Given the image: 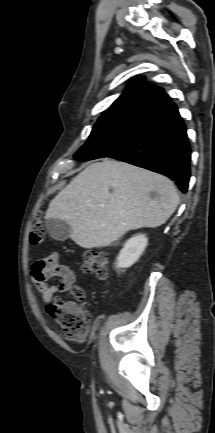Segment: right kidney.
<instances>
[{
    "label": "right kidney",
    "instance_id": "ca27d5eb",
    "mask_svg": "<svg viewBox=\"0 0 215 433\" xmlns=\"http://www.w3.org/2000/svg\"><path fill=\"white\" fill-rule=\"evenodd\" d=\"M148 244V239L144 234H138L130 238L120 251L116 268H128L132 266L140 257Z\"/></svg>",
    "mask_w": 215,
    "mask_h": 433
}]
</instances>
